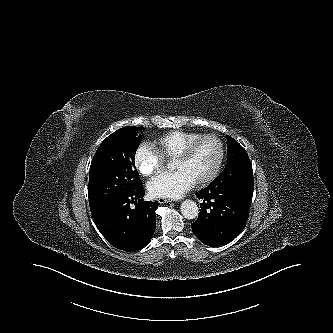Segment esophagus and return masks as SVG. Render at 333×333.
Returning <instances> with one entry per match:
<instances>
[{
	"mask_svg": "<svg viewBox=\"0 0 333 333\" xmlns=\"http://www.w3.org/2000/svg\"><path fill=\"white\" fill-rule=\"evenodd\" d=\"M158 202H159L160 204H164V203L172 202V200L167 199V198H159V199H158Z\"/></svg>",
	"mask_w": 333,
	"mask_h": 333,
	"instance_id": "1",
	"label": "esophagus"
}]
</instances>
